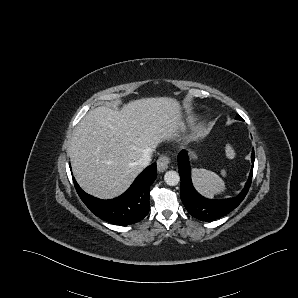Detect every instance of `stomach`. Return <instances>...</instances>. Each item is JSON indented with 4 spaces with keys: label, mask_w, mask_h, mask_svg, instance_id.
Listing matches in <instances>:
<instances>
[{
    "label": "stomach",
    "mask_w": 298,
    "mask_h": 298,
    "mask_svg": "<svg viewBox=\"0 0 298 298\" xmlns=\"http://www.w3.org/2000/svg\"><path fill=\"white\" fill-rule=\"evenodd\" d=\"M190 156H191L193 159H197V155H196L193 151L190 152Z\"/></svg>",
    "instance_id": "0dacf381"
}]
</instances>
